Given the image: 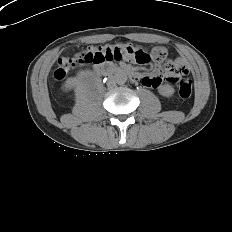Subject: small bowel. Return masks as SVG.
Masks as SVG:
<instances>
[{
    "instance_id": "small-bowel-1",
    "label": "small bowel",
    "mask_w": 232,
    "mask_h": 232,
    "mask_svg": "<svg viewBox=\"0 0 232 232\" xmlns=\"http://www.w3.org/2000/svg\"><path fill=\"white\" fill-rule=\"evenodd\" d=\"M174 65L177 68L186 69L184 61L182 59H179V58L176 59L174 62ZM157 68H158V66H157ZM164 77L168 78V73L165 72V76H163L159 73V69H158L157 72H154L152 74H146V75L142 76L140 78V80L143 83V85H145L146 87H156L162 82Z\"/></svg>"
}]
</instances>
